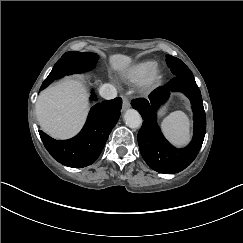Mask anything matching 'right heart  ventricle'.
<instances>
[{"label": "right heart ventricle", "instance_id": "1", "mask_svg": "<svg viewBox=\"0 0 243 243\" xmlns=\"http://www.w3.org/2000/svg\"><path fill=\"white\" fill-rule=\"evenodd\" d=\"M159 62L146 59L131 62L119 74L120 81L129 86H139L158 68Z\"/></svg>", "mask_w": 243, "mask_h": 243}]
</instances>
